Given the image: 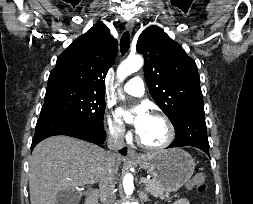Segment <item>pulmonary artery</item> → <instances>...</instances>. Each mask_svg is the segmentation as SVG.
<instances>
[{"label": "pulmonary artery", "mask_w": 253, "mask_h": 204, "mask_svg": "<svg viewBox=\"0 0 253 204\" xmlns=\"http://www.w3.org/2000/svg\"><path fill=\"white\" fill-rule=\"evenodd\" d=\"M123 91L131 96L141 97L144 94L145 86L141 77L135 76L131 78L124 86Z\"/></svg>", "instance_id": "1"}]
</instances>
